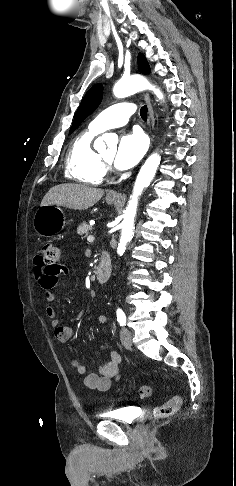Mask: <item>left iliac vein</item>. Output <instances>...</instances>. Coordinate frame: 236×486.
Masks as SVG:
<instances>
[{
	"mask_svg": "<svg viewBox=\"0 0 236 486\" xmlns=\"http://www.w3.org/2000/svg\"><path fill=\"white\" fill-rule=\"evenodd\" d=\"M120 339L124 347L130 348L132 346V333L127 328L123 327L121 329Z\"/></svg>",
	"mask_w": 236,
	"mask_h": 486,
	"instance_id": "obj_1",
	"label": "left iliac vein"
}]
</instances>
